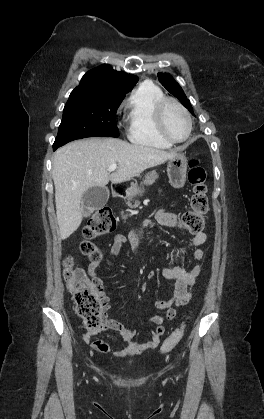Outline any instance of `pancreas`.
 I'll return each instance as SVG.
<instances>
[{"instance_id": "1", "label": "pancreas", "mask_w": 264, "mask_h": 419, "mask_svg": "<svg viewBox=\"0 0 264 419\" xmlns=\"http://www.w3.org/2000/svg\"><path fill=\"white\" fill-rule=\"evenodd\" d=\"M157 178H158V174L155 171L150 172V173H147L145 175V178L143 179L142 184L152 185ZM138 205H139V201L138 200L135 201L133 205L130 202H128V206L131 207V208H136V207H138ZM123 218L126 219L127 216H124L123 215Z\"/></svg>"}]
</instances>
